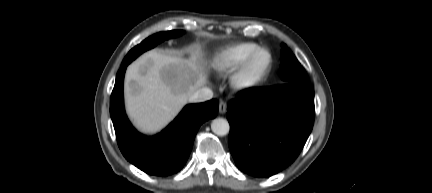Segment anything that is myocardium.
Here are the masks:
<instances>
[{"instance_id":"obj_1","label":"myocardium","mask_w":432,"mask_h":193,"mask_svg":"<svg viewBox=\"0 0 432 193\" xmlns=\"http://www.w3.org/2000/svg\"><path fill=\"white\" fill-rule=\"evenodd\" d=\"M268 54V63L263 70L262 73L256 76L250 75L251 66L255 60V58L260 53ZM273 67V55L271 51L266 47H258L255 51H253L247 59L235 70V72L231 76V83L233 87L240 91H248L263 85Z\"/></svg>"}]
</instances>
